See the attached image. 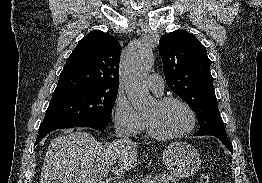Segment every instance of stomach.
Here are the masks:
<instances>
[{
    "label": "stomach",
    "mask_w": 262,
    "mask_h": 183,
    "mask_svg": "<svg viewBox=\"0 0 262 183\" xmlns=\"http://www.w3.org/2000/svg\"><path fill=\"white\" fill-rule=\"evenodd\" d=\"M163 163L176 178L194 175L201 164L199 152L186 142H173L163 151Z\"/></svg>",
    "instance_id": "1"
}]
</instances>
